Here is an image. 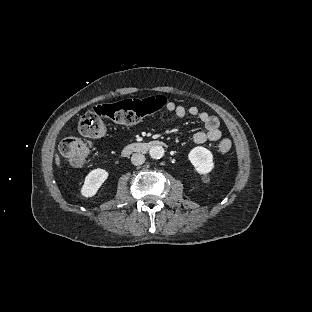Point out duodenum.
I'll use <instances>...</instances> for the list:
<instances>
[{"instance_id":"1","label":"duodenum","mask_w":312,"mask_h":312,"mask_svg":"<svg viewBox=\"0 0 312 312\" xmlns=\"http://www.w3.org/2000/svg\"><path fill=\"white\" fill-rule=\"evenodd\" d=\"M166 143L164 141L158 139H151L142 142H136L126 145L122 150L123 156H128L133 153H146L150 149L156 146H165Z\"/></svg>"}]
</instances>
